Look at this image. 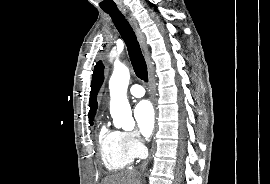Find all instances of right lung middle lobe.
<instances>
[{"label":"right lung middle lobe","mask_w":270,"mask_h":184,"mask_svg":"<svg viewBox=\"0 0 270 184\" xmlns=\"http://www.w3.org/2000/svg\"><path fill=\"white\" fill-rule=\"evenodd\" d=\"M90 122V125H92L93 124V121H89Z\"/></svg>","instance_id":"right-lung-middle-lobe-1"}]
</instances>
